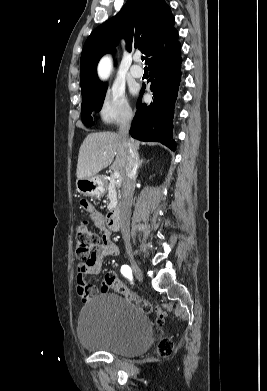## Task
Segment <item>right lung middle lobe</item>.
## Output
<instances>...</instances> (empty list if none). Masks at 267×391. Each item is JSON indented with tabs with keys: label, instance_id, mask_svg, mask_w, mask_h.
I'll return each instance as SVG.
<instances>
[{
	"label": "right lung middle lobe",
	"instance_id": "right-lung-middle-lobe-1",
	"mask_svg": "<svg viewBox=\"0 0 267 391\" xmlns=\"http://www.w3.org/2000/svg\"><path fill=\"white\" fill-rule=\"evenodd\" d=\"M106 90L107 84L101 83L82 93L81 118L85 125L92 126L93 118L91 117V113L93 111L99 112L101 110Z\"/></svg>",
	"mask_w": 267,
	"mask_h": 391
}]
</instances>
